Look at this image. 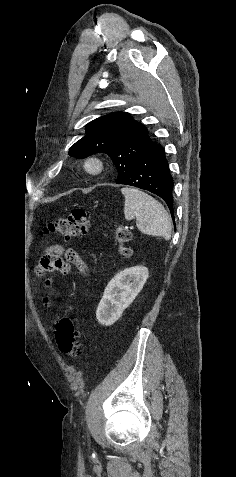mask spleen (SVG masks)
<instances>
[{"label":"spleen","instance_id":"spleen-1","mask_svg":"<svg viewBox=\"0 0 236 477\" xmlns=\"http://www.w3.org/2000/svg\"><path fill=\"white\" fill-rule=\"evenodd\" d=\"M125 197L124 215L127 220H136L138 229L148 235L171 238V221L161 203L135 188H122Z\"/></svg>","mask_w":236,"mask_h":477}]
</instances>
